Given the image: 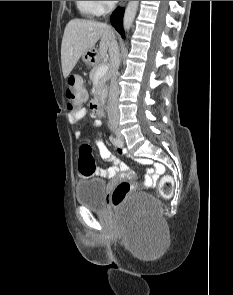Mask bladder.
Here are the masks:
<instances>
[{
	"label": "bladder",
	"mask_w": 233,
	"mask_h": 295,
	"mask_svg": "<svg viewBox=\"0 0 233 295\" xmlns=\"http://www.w3.org/2000/svg\"><path fill=\"white\" fill-rule=\"evenodd\" d=\"M106 190V183L102 179H81L76 183V200L81 206L91 211L105 213L107 211ZM123 210L127 214L153 221L159 216L160 203L157 198L148 193H138L123 205Z\"/></svg>",
	"instance_id": "bladder-1"
}]
</instances>
